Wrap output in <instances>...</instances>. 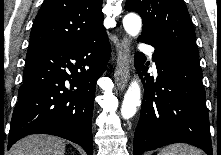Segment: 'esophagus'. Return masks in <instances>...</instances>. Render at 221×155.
Instances as JSON below:
<instances>
[{
    "label": "esophagus",
    "instance_id": "obj_1",
    "mask_svg": "<svg viewBox=\"0 0 221 155\" xmlns=\"http://www.w3.org/2000/svg\"><path fill=\"white\" fill-rule=\"evenodd\" d=\"M130 42L129 39L124 36L119 45L118 59L115 69V80L119 90L123 91L128 83L129 64H130Z\"/></svg>",
    "mask_w": 221,
    "mask_h": 155
}]
</instances>
